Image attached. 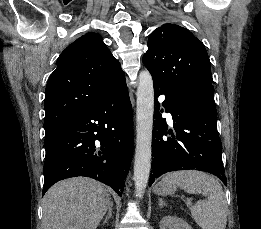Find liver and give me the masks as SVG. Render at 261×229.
Wrapping results in <instances>:
<instances>
[{
    "label": "liver",
    "instance_id": "6515ba94",
    "mask_svg": "<svg viewBox=\"0 0 261 229\" xmlns=\"http://www.w3.org/2000/svg\"><path fill=\"white\" fill-rule=\"evenodd\" d=\"M110 195L88 177H73L53 185L44 197L41 229H97Z\"/></svg>",
    "mask_w": 261,
    "mask_h": 229
}]
</instances>
